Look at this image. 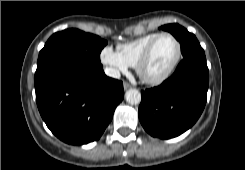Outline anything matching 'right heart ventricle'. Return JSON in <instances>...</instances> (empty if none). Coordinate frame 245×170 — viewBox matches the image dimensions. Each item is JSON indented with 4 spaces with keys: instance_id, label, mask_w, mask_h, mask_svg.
Wrapping results in <instances>:
<instances>
[{
    "instance_id": "1",
    "label": "right heart ventricle",
    "mask_w": 245,
    "mask_h": 170,
    "mask_svg": "<svg viewBox=\"0 0 245 170\" xmlns=\"http://www.w3.org/2000/svg\"><path fill=\"white\" fill-rule=\"evenodd\" d=\"M158 34L159 33L146 34L137 39L120 44L117 47V51L128 66L135 67L141 53L144 51L149 42Z\"/></svg>"
}]
</instances>
